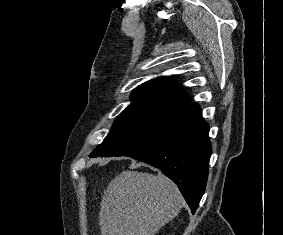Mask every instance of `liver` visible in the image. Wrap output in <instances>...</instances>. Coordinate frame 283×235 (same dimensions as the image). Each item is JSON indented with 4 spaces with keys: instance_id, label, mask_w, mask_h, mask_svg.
<instances>
[{
    "instance_id": "obj_1",
    "label": "liver",
    "mask_w": 283,
    "mask_h": 235,
    "mask_svg": "<svg viewBox=\"0 0 283 235\" xmlns=\"http://www.w3.org/2000/svg\"><path fill=\"white\" fill-rule=\"evenodd\" d=\"M182 197L166 176L123 171L104 191L101 235H155L180 212Z\"/></svg>"
}]
</instances>
